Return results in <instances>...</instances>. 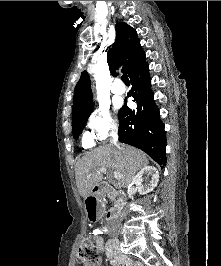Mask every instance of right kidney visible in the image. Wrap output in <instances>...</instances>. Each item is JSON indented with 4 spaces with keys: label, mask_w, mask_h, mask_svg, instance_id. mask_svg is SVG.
Instances as JSON below:
<instances>
[{
    "label": "right kidney",
    "mask_w": 221,
    "mask_h": 266,
    "mask_svg": "<svg viewBox=\"0 0 221 266\" xmlns=\"http://www.w3.org/2000/svg\"><path fill=\"white\" fill-rule=\"evenodd\" d=\"M143 181H145L144 184ZM159 181V172L154 166L143 167L133 178L132 183L140 193H148L153 191Z\"/></svg>",
    "instance_id": "ca27d5eb"
}]
</instances>
